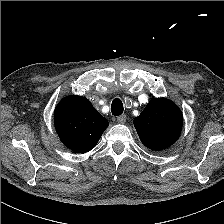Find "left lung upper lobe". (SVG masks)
Returning <instances> with one entry per match:
<instances>
[{"instance_id":"left-lung-upper-lobe-1","label":"left lung upper lobe","mask_w":224,"mask_h":224,"mask_svg":"<svg viewBox=\"0 0 224 224\" xmlns=\"http://www.w3.org/2000/svg\"><path fill=\"white\" fill-rule=\"evenodd\" d=\"M183 116L179 107L167 98H154L134 119L141 142L151 150H163L174 144L181 133Z\"/></svg>"}]
</instances>
